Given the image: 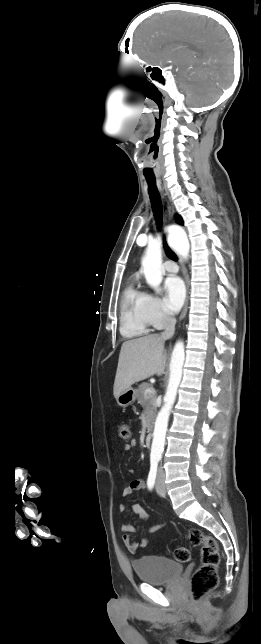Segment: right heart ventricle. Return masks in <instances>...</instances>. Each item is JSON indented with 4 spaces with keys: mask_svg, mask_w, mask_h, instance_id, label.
Returning <instances> with one entry per match:
<instances>
[{
    "mask_svg": "<svg viewBox=\"0 0 261 644\" xmlns=\"http://www.w3.org/2000/svg\"><path fill=\"white\" fill-rule=\"evenodd\" d=\"M151 321L147 313V295L133 283L123 293L121 302L120 331L123 336L134 338L150 332Z\"/></svg>",
    "mask_w": 261,
    "mask_h": 644,
    "instance_id": "1",
    "label": "right heart ventricle"
}]
</instances>
